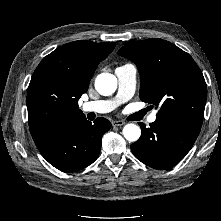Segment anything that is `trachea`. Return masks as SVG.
I'll return each instance as SVG.
<instances>
[{"label": "trachea", "mask_w": 221, "mask_h": 221, "mask_svg": "<svg viewBox=\"0 0 221 221\" xmlns=\"http://www.w3.org/2000/svg\"><path fill=\"white\" fill-rule=\"evenodd\" d=\"M145 111H146V109L142 110V111L140 112V114H138V115H140V117H142V115H144Z\"/></svg>", "instance_id": "obj_1"}]
</instances>
